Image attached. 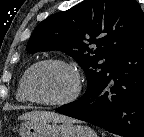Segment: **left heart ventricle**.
<instances>
[{
	"mask_svg": "<svg viewBox=\"0 0 144 137\" xmlns=\"http://www.w3.org/2000/svg\"><path fill=\"white\" fill-rule=\"evenodd\" d=\"M74 88L72 74L57 65H43L30 77L29 89L35 98L60 100L67 97Z\"/></svg>",
	"mask_w": 144,
	"mask_h": 137,
	"instance_id": "1",
	"label": "left heart ventricle"
}]
</instances>
